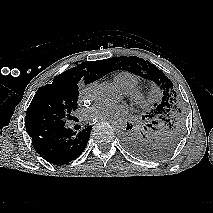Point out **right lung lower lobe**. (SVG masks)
I'll use <instances>...</instances> for the list:
<instances>
[{
  "label": "right lung lower lobe",
  "mask_w": 213,
  "mask_h": 213,
  "mask_svg": "<svg viewBox=\"0 0 213 213\" xmlns=\"http://www.w3.org/2000/svg\"><path fill=\"white\" fill-rule=\"evenodd\" d=\"M92 127H85L79 133L65 128L52 127L32 136L34 149L46 161L56 165L66 164L76 159L84 149L90 137Z\"/></svg>",
  "instance_id": "right-lung-lower-lobe-1"
}]
</instances>
